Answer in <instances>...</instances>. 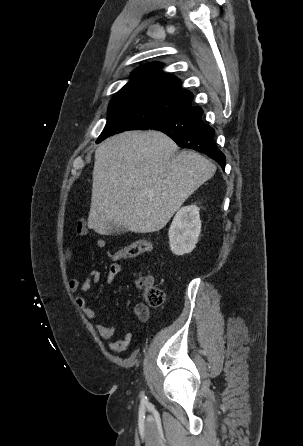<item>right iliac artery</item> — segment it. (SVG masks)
<instances>
[{
    "instance_id": "right-iliac-artery-1",
    "label": "right iliac artery",
    "mask_w": 303,
    "mask_h": 446,
    "mask_svg": "<svg viewBox=\"0 0 303 446\" xmlns=\"http://www.w3.org/2000/svg\"><path fill=\"white\" fill-rule=\"evenodd\" d=\"M142 403H147V397L144 395V393H142V399H141Z\"/></svg>"
}]
</instances>
